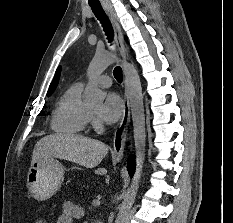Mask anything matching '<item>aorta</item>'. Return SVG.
<instances>
[{"instance_id": "aorta-1", "label": "aorta", "mask_w": 233, "mask_h": 223, "mask_svg": "<svg viewBox=\"0 0 233 223\" xmlns=\"http://www.w3.org/2000/svg\"><path fill=\"white\" fill-rule=\"evenodd\" d=\"M114 62H118V58H115V56H106V58H94L91 64H89L87 70L88 84L83 96V102H85V104H93V106H100V104H103L106 94L102 92V90H99L97 78L101 76L102 72H104L110 64H114ZM122 70L129 86L130 108L132 112L136 149V167L134 175L130 187H128L124 195L123 205L124 209H126L127 205H129L131 201H134V197H136L138 191L145 159L146 131L140 78L131 64H122Z\"/></svg>"}]
</instances>
